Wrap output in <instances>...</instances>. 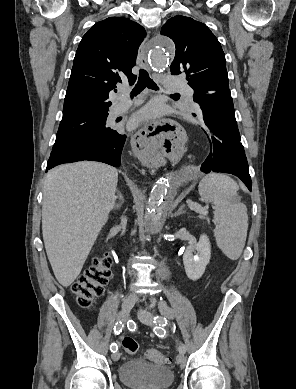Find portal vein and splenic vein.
<instances>
[{"instance_id":"1","label":"portal vein and splenic vein","mask_w":296,"mask_h":389,"mask_svg":"<svg viewBox=\"0 0 296 389\" xmlns=\"http://www.w3.org/2000/svg\"><path fill=\"white\" fill-rule=\"evenodd\" d=\"M187 203H188V206H189L190 209H192L194 211H199L200 210V205H198L197 203L192 202L191 200H187ZM202 213L204 215H206L207 211H203Z\"/></svg>"}]
</instances>
